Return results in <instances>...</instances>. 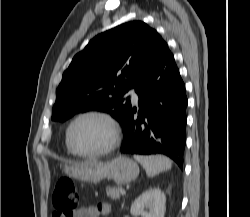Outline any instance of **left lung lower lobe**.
<instances>
[{
    "mask_svg": "<svg viewBox=\"0 0 250 217\" xmlns=\"http://www.w3.org/2000/svg\"><path fill=\"white\" fill-rule=\"evenodd\" d=\"M135 91L139 107H131L122 124L121 152L164 154L182 169L187 97L185 84L165 41L151 67L135 85Z\"/></svg>",
    "mask_w": 250,
    "mask_h": 217,
    "instance_id": "obj_1",
    "label": "left lung lower lobe"
}]
</instances>
